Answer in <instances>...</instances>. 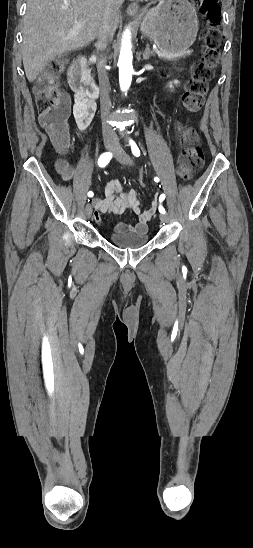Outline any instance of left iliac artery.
Instances as JSON below:
<instances>
[{
  "instance_id": "1",
  "label": "left iliac artery",
  "mask_w": 253,
  "mask_h": 548,
  "mask_svg": "<svg viewBox=\"0 0 253 548\" xmlns=\"http://www.w3.org/2000/svg\"><path fill=\"white\" fill-rule=\"evenodd\" d=\"M130 145H131V150H132L133 155L136 156V157H139L140 156V150L137 147L136 143L131 140ZM154 181L159 182V178L155 177ZM164 199H165V195L161 194L160 197H159V201L162 202ZM159 212L162 213V214L166 213L165 208L161 204L159 205Z\"/></svg>"
}]
</instances>
